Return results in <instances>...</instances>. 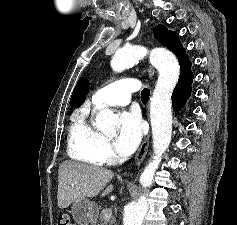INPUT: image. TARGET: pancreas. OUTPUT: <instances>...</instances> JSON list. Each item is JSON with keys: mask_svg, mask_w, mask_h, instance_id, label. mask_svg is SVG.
<instances>
[{"mask_svg": "<svg viewBox=\"0 0 237 225\" xmlns=\"http://www.w3.org/2000/svg\"><path fill=\"white\" fill-rule=\"evenodd\" d=\"M114 220L112 219H108V218H105L104 215H103V211L99 217V221L97 223V225H114Z\"/></svg>", "mask_w": 237, "mask_h": 225, "instance_id": "pancreas-1", "label": "pancreas"}]
</instances>
